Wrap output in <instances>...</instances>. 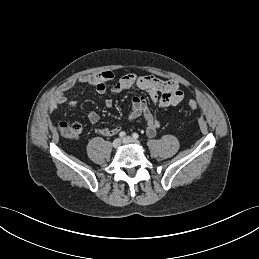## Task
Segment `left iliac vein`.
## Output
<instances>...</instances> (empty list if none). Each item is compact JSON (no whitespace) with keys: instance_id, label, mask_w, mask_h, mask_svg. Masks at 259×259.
<instances>
[{"instance_id":"1","label":"left iliac vein","mask_w":259,"mask_h":259,"mask_svg":"<svg viewBox=\"0 0 259 259\" xmlns=\"http://www.w3.org/2000/svg\"><path fill=\"white\" fill-rule=\"evenodd\" d=\"M123 143L124 144H139V142L135 139H133L132 137L130 136H126L124 139H123Z\"/></svg>"}]
</instances>
